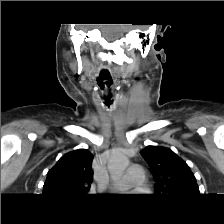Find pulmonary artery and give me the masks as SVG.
<instances>
[{
    "mask_svg": "<svg viewBox=\"0 0 224 224\" xmlns=\"http://www.w3.org/2000/svg\"><path fill=\"white\" fill-rule=\"evenodd\" d=\"M145 175L143 169L139 165H131L127 168L124 176L114 181L109 189L120 191L130 187H141L144 185Z\"/></svg>",
    "mask_w": 224,
    "mask_h": 224,
    "instance_id": "1",
    "label": "pulmonary artery"
}]
</instances>
